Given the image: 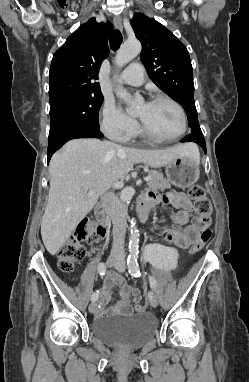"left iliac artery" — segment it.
<instances>
[{"mask_svg":"<svg viewBox=\"0 0 249 382\" xmlns=\"http://www.w3.org/2000/svg\"><path fill=\"white\" fill-rule=\"evenodd\" d=\"M137 254L138 252H132L127 259L129 273L134 277H139L141 275L138 267L139 265L137 263ZM149 283L152 289H156L157 283L153 276H149Z\"/></svg>","mask_w":249,"mask_h":382,"instance_id":"44dca946","label":"left iliac artery"}]
</instances>
